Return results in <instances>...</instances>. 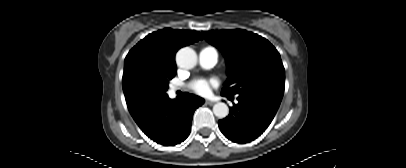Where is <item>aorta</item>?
Listing matches in <instances>:
<instances>
[{
	"label": "aorta",
	"mask_w": 406,
	"mask_h": 168,
	"mask_svg": "<svg viewBox=\"0 0 406 168\" xmlns=\"http://www.w3.org/2000/svg\"><path fill=\"white\" fill-rule=\"evenodd\" d=\"M176 63L180 68L192 69L197 64L196 52L189 47L181 48L176 54ZM213 113L222 119L229 114V108L225 103L218 102L213 106Z\"/></svg>",
	"instance_id": "aorta-1"
}]
</instances>
